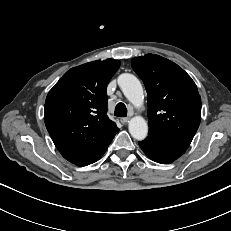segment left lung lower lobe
<instances>
[{
	"label": "left lung lower lobe",
	"mask_w": 231,
	"mask_h": 231,
	"mask_svg": "<svg viewBox=\"0 0 231 231\" xmlns=\"http://www.w3.org/2000/svg\"><path fill=\"white\" fill-rule=\"evenodd\" d=\"M139 146L150 159L162 164L173 162L186 151L150 134Z\"/></svg>",
	"instance_id": "0a47b994"
}]
</instances>
